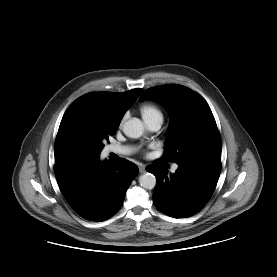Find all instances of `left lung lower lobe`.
<instances>
[{
  "instance_id": "obj_1",
  "label": "left lung lower lobe",
  "mask_w": 277,
  "mask_h": 277,
  "mask_svg": "<svg viewBox=\"0 0 277 277\" xmlns=\"http://www.w3.org/2000/svg\"><path fill=\"white\" fill-rule=\"evenodd\" d=\"M177 164L170 175L160 165H149L146 170L157 178L156 208L170 217L185 218L199 212L211 198L221 172V155H200Z\"/></svg>"
}]
</instances>
